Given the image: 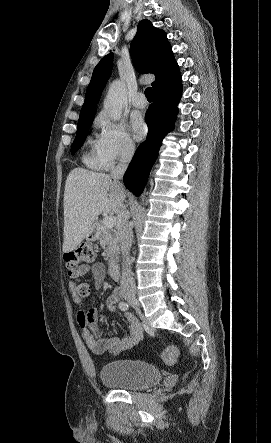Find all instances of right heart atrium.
Returning <instances> with one entry per match:
<instances>
[{"label": "right heart atrium", "instance_id": "right-heart-atrium-1", "mask_svg": "<svg viewBox=\"0 0 271 443\" xmlns=\"http://www.w3.org/2000/svg\"><path fill=\"white\" fill-rule=\"evenodd\" d=\"M93 124L100 130L94 150L107 166L135 151V143L125 124L113 122L104 111L96 114Z\"/></svg>", "mask_w": 271, "mask_h": 443}]
</instances>
